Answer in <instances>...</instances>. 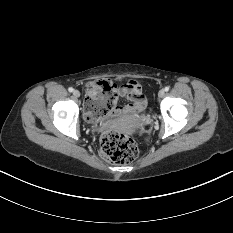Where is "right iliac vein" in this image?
I'll use <instances>...</instances> for the list:
<instances>
[{"mask_svg": "<svg viewBox=\"0 0 233 233\" xmlns=\"http://www.w3.org/2000/svg\"><path fill=\"white\" fill-rule=\"evenodd\" d=\"M73 95H74L75 97H79V96H80V92H79L78 90H74V91H73Z\"/></svg>", "mask_w": 233, "mask_h": 233, "instance_id": "63e3f726", "label": "right iliac vein"}]
</instances>
